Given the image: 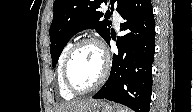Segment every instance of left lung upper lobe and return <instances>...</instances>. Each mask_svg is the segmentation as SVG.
Returning <instances> with one entry per match:
<instances>
[{
	"mask_svg": "<svg viewBox=\"0 0 193 112\" xmlns=\"http://www.w3.org/2000/svg\"><path fill=\"white\" fill-rule=\"evenodd\" d=\"M132 0H110L111 13L114 4L121 13ZM107 4V0H55L53 4L54 14L49 34L51 40L50 54L53 68L56 66L59 56L76 33L85 29H95L105 41L110 36L109 18L110 11L105 16L97 11L100 4ZM106 19L102 20V17Z\"/></svg>",
	"mask_w": 193,
	"mask_h": 112,
	"instance_id": "1",
	"label": "left lung upper lobe"
}]
</instances>
